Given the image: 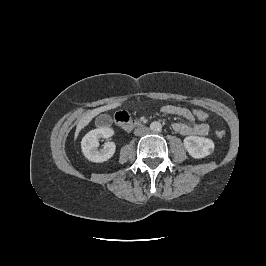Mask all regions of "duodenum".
<instances>
[{"mask_svg":"<svg viewBox=\"0 0 266 266\" xmlns=\"http://www.w3.org/2000/svg\"><path fill=\"white\" fill-rule=\"evenodd\" d=\"M115 122L124 131H131L134 128L141 126V123L139 121L131 120L127 116L116 117Z\"/></svg>","mask_w":266,"mask_h":266,"instance_id":"410a0bca","label":"duodenum"}]
</instances>
